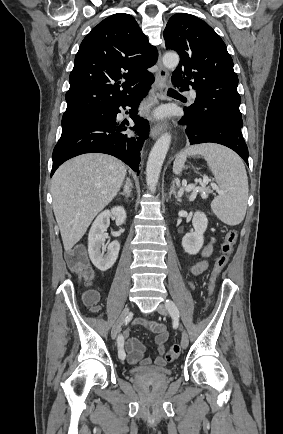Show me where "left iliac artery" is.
Instances as JSON below:
<instances>
[{
  "instance_id": "left-iliac-artery-1",
  "label": "left iliac artery",
  "mask_w": 283,
  "mask_h": 434,
  "mask_svg": "<svg viewBox=\"0 0 283 434\" xmlns=\"http://www.w3.org/2000/svg\"><path fill=\"white\" fill-rule=\"evenodd\" d=\"M165 306L173 317H175V318L179 317L178 308L176 307V305L173 301L166 300Z\"/></svg>"
}]
</instances>
